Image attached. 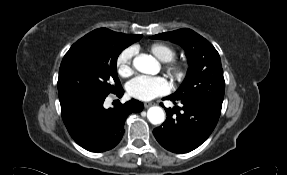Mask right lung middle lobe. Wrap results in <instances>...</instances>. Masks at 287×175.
<instances>
[{
	"instance_id": "right-lung-middle-lobe-1",
	"label": "right lung middle lobe",
	"mask_w": 287,
	"mask_h": 175,
	"mask_svg": "<svg viewBox=\"0 0 287 175\" xmlns=\"http://www.w3.org/2000/svg\"><path fill=\"white\" fill-rule=\"evenodd\" d=\"M142 35L94 30L65 54L59 69L58 93L63 101L73 96L106 97L121 90L116 62L123 49Z\"/></svg>"
}]
</instances>
